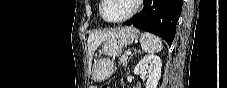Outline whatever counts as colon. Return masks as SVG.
<instances>
[{
  "label": "colon",
  "instance_id": "obj_1",
  "mask_svg": "<svg viewBox=\"0 0 227 88\" xmlns=\"http://www.w3.org/2000/svg\"><path fill=\"white\" fill-rule=\"evenodd\" d=\"M92 88H95V87H92ZM103 88H107V86H104Z\"/></svg>",
  "mask_w": 227,
  "mask_h": 88
}]
</instances>
